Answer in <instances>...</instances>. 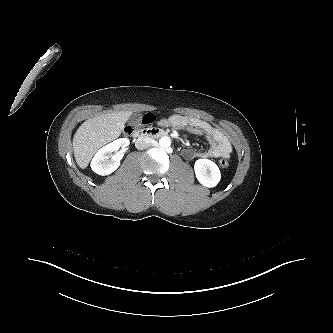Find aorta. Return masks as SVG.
<instances>
[{"label": "aorta", "mask_w": 333, "mask_h": 333, "mask_svg": "<svg viewBox=\"0 0 333 333\" xmlns=\"http://www.w3.org/2000/svg\"><path fill=\"white\" fill-rule=\"evenodd\" d=\"M159 145L160 147L162 148H167V147H170L171 145V141L168 137H162L160 140H159Z\"/></svg>", "instance_id": "aorta-1"}]
</instances>
